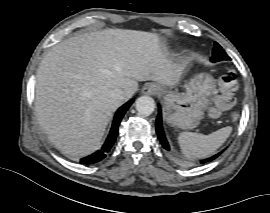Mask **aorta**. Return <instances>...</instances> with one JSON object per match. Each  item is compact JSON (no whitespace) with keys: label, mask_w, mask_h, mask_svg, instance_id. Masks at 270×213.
<instances>
[{"label":"aorta","mask_w":270,"mask_h":213,"mask_svg":"<svg viewBox=\"0 0 270 213\" xmlns=\"http://www.w3.org/2000/svg\"><path fill=\"white\" fill-rule=\"evenodd\" d=\"M136 109L140 114L150 115L155 109V101L150 96H141L136 100Z\"/></svg>","instance_id":"obj_1"}]
</instances>
